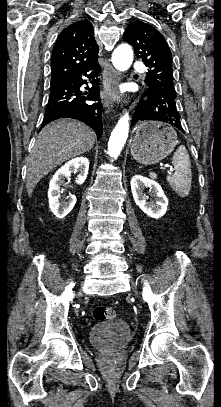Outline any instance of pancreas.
Returning a JSON list of instances; mask_svg holds the SVG:
<instances>
[{"label": "pancreas", "instance_id": "cf45deb5", "mask_svg": "<svg viewBox=\"0 0 221 407\" xmlns=\"http://www.w3.org/2000/svg\"><path fill=\"white\" fill-rule=\"evenodd\" d=\"M151 176H152V177H155V175H154V174H151Z\"/></svg>", "mask_w": 221, "mask_h": 407}]
</instances>
